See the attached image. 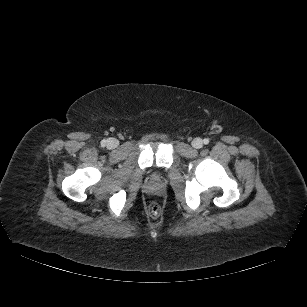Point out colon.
<instances>
[{"label": "colon", "mask_w": 307, "mask_h": 307, "mask_svg": "<svg viewBox=\"0 0 307 307\" xmlns=\"http://www.w3.org/2000/svg\"><path fill=\"white\" fill-rule=\"evenodd\" d=\"M149 210L152 215H157L160 212V205L158 203H152L149 206Z\"/></svg>", "instance_id": "1"}]
</instances>
